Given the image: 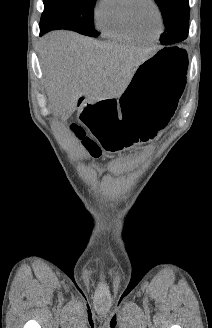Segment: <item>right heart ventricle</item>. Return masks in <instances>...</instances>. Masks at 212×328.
Instances as JSON below:
<instances>
[{"label": "right heart ventricle", "instance_id": "e07e8e85", "mask_svg": "<svg viewBox=\"0 0 212 328\" xmlns=\"http://www.w3.org/2000/svg\"><path fill=\"white\" fill-rule=\"evenodd\" d=\"M128 0H101L96 12L95 23L103 36L126 43L150 42L153 36L142 37L131 27L127 18Z\"/></svg>", "mask_w": 212, "mask_h": 328}]
</instances>
